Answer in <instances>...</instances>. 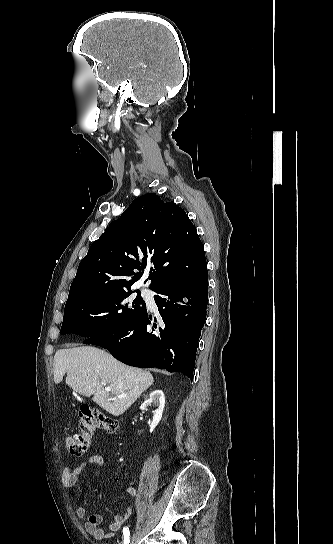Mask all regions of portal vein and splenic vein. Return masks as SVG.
Returning <instances> with one entry per match:
<instances>
[{
    "label": "portal vein and splenic vein",
    "mask_w": 333,
    "mask_h": 544,
    "mask_svg": "<svg viewBox=\"0 0 333 544\" xmlns=\"http://www.w3.org/2000/svg\"><path fill=\"white\" fill-rule=\"evenodd\" d=\"M105 391L109 392V391H111V388H110L109 386H105ZM126 396H127V395H124V394H123V395H119V397H121V398H122V397H126Z\"/></svg>",
    "instance_id": "portal-vein-and-splenic-vein-1"
}]
</instances>
